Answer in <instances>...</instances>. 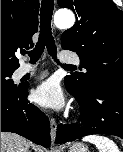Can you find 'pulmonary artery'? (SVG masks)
Segmentation results:
<instances>
[{
    "label": "pulmonary artery",
    "mask_w": 123,
    "mask_h": 152,
    "mask_svg": "<svg viewBox=\"0 0 123 152\" xmlns=\"http://www.w3.org/2000/svg\"><path fill=\"white\" fill-rule=\"evenodd\" d=\"M59 60L62 63H79V58L75 55L69 53H61L59 55ZM36 72V68L31 66L30 64H22L17 70V75L19 77L34 74Z\"/></svg>",
    "instance_id": "e3ab8cb5"
}]
</instances>
